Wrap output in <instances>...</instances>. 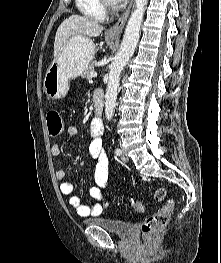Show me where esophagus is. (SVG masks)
Returning <instances> with one entry per match:
<instances>
[{
  "instance_id": "esophagus-1",
  "label": "esophagus",
  "mask_w": 221,
  "mask_h": 263,
  "mask_svg": "<svg viewBox=\"0 0 221 263\" xmlns=\"http://www.w3.org/2000/svg\"><path fill=\"white\" fill-rule=\"evenodd\" d=\"M131 7H132V1L127 7V9L124 11V13L121 15V17L118 19V21L106 31V35L108 37L118 38L120 36L123 27L127 21V18L130 14Z\"/></svg>"
}]
</instances>
